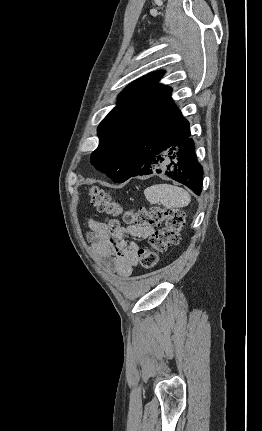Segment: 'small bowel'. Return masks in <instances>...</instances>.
Here are the masks:
<instances>
[{"label":"small bowel","instance_id":"1","mask_svg":"<svg viewBox=\"0 0 262 431\" xmlns=\"http://www.w3.org/2000/svg\"><path fill=\"white\" fill-rule=\"evenodd\" d=\"M91 232L88 236L91 249L98 264L104 269H113L119 277H129L138 264L139 245H126L122 239L131 236L146 240L153 234L149 227L128 225L123 227L117 220L100 222L90 219Z\"/></svg>","mask_w":262,"mask_h":431}]
</instances>
